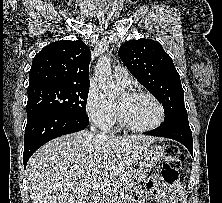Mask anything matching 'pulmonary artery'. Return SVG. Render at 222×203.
Segmentation results:
<instances>
[{"mask_svg":"<svg viewBox=\"0 0 222 203\" xmlns=\"http://www.w3.org/2000/svg\"><path fill=\"white\" fill-rule=\"evenodd\" d=\"M113 79L116 84L122 87H129L131 79L128 70L125 67L117 66L113 69Z\"/></svg>","mask_w":222,"mask_h":203,"instance_id":"obj_1","label":"pulmonary artery"}]
</instances>
